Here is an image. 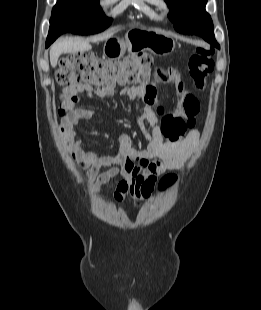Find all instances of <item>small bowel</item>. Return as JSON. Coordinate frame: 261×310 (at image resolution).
<instances>
[{"label":"small bowel","mask_w":261,"mask_h":310,"mask_svg":"<svg viewBox=\"0 0 261 310\" xmlns=\"http://www.w3.org/2000/svg\"><path fill=\"white\" fill-rule=\"evenodd\" d=\"M174 81L182 93V99L174 113H165L163 109L153 110L146 107L138 116L140 126L148 138L146 149H136L132 139L122 134L117 151L111 155H98L85 151V143L78 139L76 126L81 120H89L93 111L89 108H73L63 121L65 135L71 147V153L77 163L87 169V183L95 190L102 189L111 179L119 176L114 197L122 202L131 198L136 205L150 197L158 178L169 170L180 168L198 140L199 133L188 128L195 125L200 106L198 99L183 91V84L175 72H162L161 81ZM156 88L150 84L125 87L121 94L129 99L145 97L152 99ZM72 106L79 102L80 96L95 94L100 98L111 97L114 89L96 90L86 85H75L64 91ZM162 118V124L159 122ZM148 125V127H147ZM102 169H106L101 172Z\"/></svg>","instance_id":"c3829d8e"}]
</instances>
